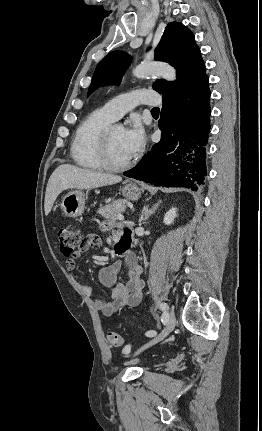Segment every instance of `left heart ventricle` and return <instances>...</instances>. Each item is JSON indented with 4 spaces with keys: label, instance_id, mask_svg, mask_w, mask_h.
<instances>
[{
    "label": "left heart ventricle",
    "instance_id": "left-heart-ventricle-1",
    "mask_svg": "<svg viewBox=\"0 0 262 431\" xmlns=\"http://www.w3.org/2000/svg\"><path fill=\"white\" fill-rule=\"evenodd\" d=\"M124 129L121 127H114L110 141V151L112 160L117 163H125L131 160L128 154L124 141H123Z\"/></svg>",
    "mask_w": 262,
    "mask_h": 431
}]
</instances>
